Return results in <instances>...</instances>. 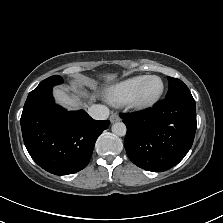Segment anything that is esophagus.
<instances>
[{"label": "esophagus", "instance_id": "34e87169", "mask_svg": "<svg viewBox=\"0 0 223 223\" xmlns=\"http://www.w3.org/2000/svg\"><path fill=\"white\" fill-rule=\"evenodd\" d=\"M110 121H111V123H114V122H117V121H120V117H119V115L118 114H116V113H114V114H112L111 116H110Z\"/></svg>", "mask_w": 223, "mask_h": 223}]
</instances>
